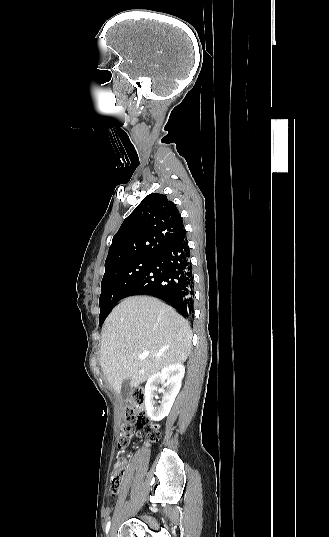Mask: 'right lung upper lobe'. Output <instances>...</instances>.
Instances as JSON below:
<instances>
[{
    "mask_svg": "<svg viewBox=\"0 0 329 537\" xmlns=\"http://www.w3.org/2000/svg\"><path fill=\"white\" fill-rule=\"evenodd\" d=\"M185 233L176 205L163 194L151 193L114 235L105 270L137 259H153Z\"/></svg>",
    "mask_w": 329,
    "mask_h": 537,
    "instance_id": "1",
    "label": "right lung upper lobe"
}]
</instances>
